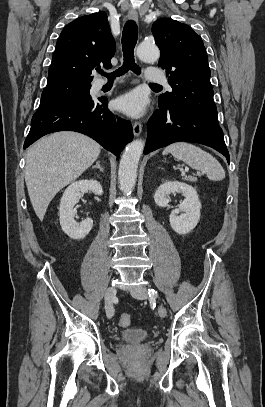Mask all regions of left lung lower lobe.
I'll return each instance as SVG.
<instances>
[{"label": "left lung lower lobe", "mask_w": 265, "mask_h": 407, "mask_svg": "<svg viewBox=\"0 0 265 407\" xmlns=\"http://www.w3.org/2000/svg\"><path fill=\"white\" fill-rule=\"evenodd\" d=\"M178 141L210 146L230 162L223 131L218 123L187 110L159 108L148 121V140L144 153Z\"/></svg>", "instance_id": "1"}]
</instances>
